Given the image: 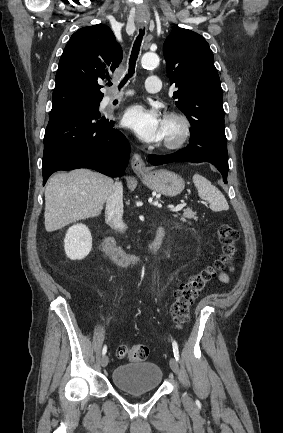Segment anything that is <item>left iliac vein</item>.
<instances>
[{
    "label": "left iliac vein",
    "mask_w": 283,
    "mask_h": 433,
    "mask_svg": "<svg viewBox=\"0 0 283 433\" xmlns=\"http://www.w3.org/2000/svg\"><path fill=\"white\" fill-rule=\"evenodd\" d=\"M169 364H170L171 369H172L175 373L178 374V373H179V367H178V363H177L176 359L173 358V357L170 358ZM190 402H191L190 398H189V397H186V404H187V405H190Z\"/></svg>",
    "instance_id": "4c4485c4"
}]
</instances>
